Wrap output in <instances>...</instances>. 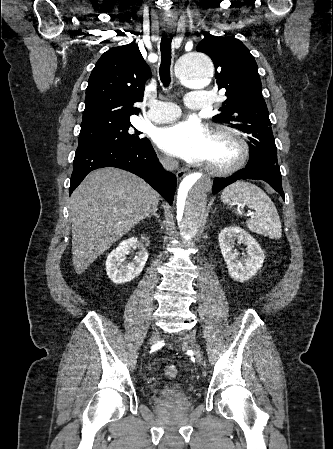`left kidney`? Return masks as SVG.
I'll list each match as a JSON object with an SVG mask.
<instances>
[{"label":"left kidney","mask_w":333,"mask_h":449,"mask_svg":"<svg viewBox=\"0 0 333 449\" xmlns=\"http://www.w3.org/2000/svg\"><path fill=\"white\" fill-rule=\"evenodd\" d=\"M236 244L246 246V257L239 258ZM219 245L227 263L229 275L239 281L250 279L261 267L265 256L258 242L237 226L224 228L219 234Z\"/></svg>","instance_id":"left-kidney-1"}]
</instances>
